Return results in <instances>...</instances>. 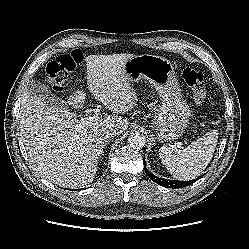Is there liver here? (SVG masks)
Masks as SVG:
<instances>
[{"label":"liver","mask_w":249,"mask_h":249,"mask_svg":"<svg viewBox=\"0 0 249 249\" xmlns=\"http://www.w3.org/2000/svg\"><path fill=\"white\" fill-rule=\"evenodd\" d=\"M134 56L86 57L88 88L113 113L124 114L134 107L136 93L122 70L124 63ZM84 99V91L76 90L68 104L81 108ZM19 120L22 141L37 172L67 188H78L93 181L100 147L105 141L103 130L113 127L123 133L129 125L126 117L110 115L81 128L73 113L45 104L27 89L21 98Z\"/></svg>","instance_id":"obj_1"}]
</instances>
